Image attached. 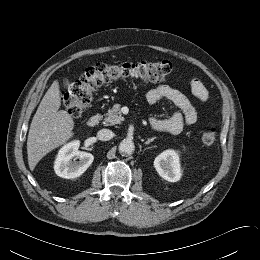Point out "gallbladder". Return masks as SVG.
<instances>
[{
    "instance_id": "bac80fb5",
    "label": "gallbladder",
    "mask_w": 260,
    "mask_h": 260,
    "mask_svg": "<svg viewBox=\"0 0 260 260\" xmlns=\"http://www.w3.org/2000/svg\"><path fill=\"white\" fill-rule=\"evenodd\" d=\"M63 84H64L65 87H69L70 86V82H69V80L67 78H64Z\"/></svg>"
}]
</instances>
